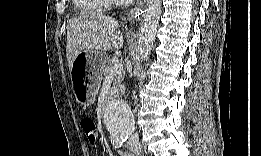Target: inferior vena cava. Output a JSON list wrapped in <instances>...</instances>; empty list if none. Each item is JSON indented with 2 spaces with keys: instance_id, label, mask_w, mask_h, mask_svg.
<instances>
[{
  "instance_id": "1",
  "label": "inferior vena cava",
  "mask_w": 261,
  "mask_h": 156,
  "mask_svg": "<svg viewBox=\"0 0 261 156\" xmlns=\"http://www.w3.org/2000/svg\"><path fill=\"white\" fill-rule=\"evenodd\" d=\"M139 143V136L138 133H134L129 138V144H138Z\"/></svg>"
}]
</instances>
